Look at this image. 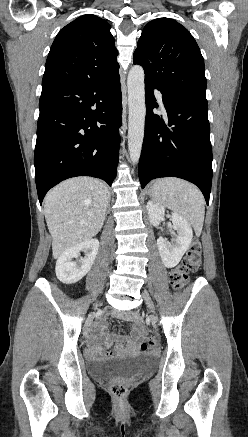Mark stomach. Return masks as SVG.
I'll list each match as a JSON object with an SVG mask.
<instances>
[{
    "label": "stomach",
    "instance_id": "stomach-1",
    "mask_svg": "<svg viewBox=\"0 0 248 437\" xmlns=\"http://www.w3.org/2000/svg\"><path fill=\"white\" fill-rule=\"evenodd\" d=\"M153 194H154V192H153V190L151 189V196H153Z\"/></svg>",
    "mask_w": 248,
    "mask_h": 437
}]
</instances>
